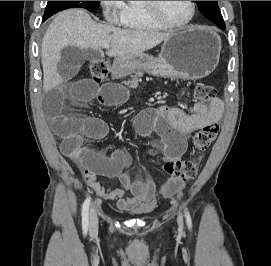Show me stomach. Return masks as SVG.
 <instances>
[{
	"instance_id": "obj_1",
	"label": "stomach",
	"mask_w": 271,
	"mask_h": 266,
	"mask_svg": "<svg viewBox=\"0 0 271 266\" xmlns=\"http://www.w3.org/2000/svg\"><path fill=\"white\" fill-rule=\"evenodd\" d=\"M221 39L207 27L192 26L164 40L158 58L146 53L116 59L121 71L149 70L164 76L186 80L211 74L219 63Z\"/></svg>"
}]
</instances>
